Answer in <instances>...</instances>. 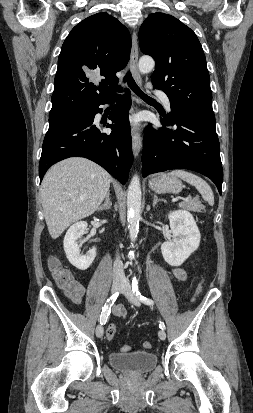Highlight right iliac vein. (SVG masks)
Segmentation results:
<instances>
[{
	"label": "right iliac vein",
	"instance_id": "right-iliac-vein-1",
	"mask_svg": "<svg viewBox=\"0 0 253 413\" xmlns=\"http://www.w3.org/2000/svg\"><path fill=\"white\" fill-rule=\"evenodd\" d=\"M121 286H122L121 280H119V279L113 280L111 292L116 293L121 288ZM103 333H104L103 326L101 324H99L96 327V336L98 338H102Z\"/></svg>",
	"mask_w": 253,
	"mask_h": 413
}]
</instances>
